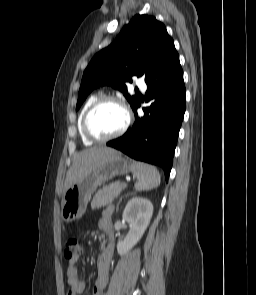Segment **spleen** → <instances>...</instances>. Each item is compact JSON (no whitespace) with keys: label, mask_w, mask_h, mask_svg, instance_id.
<instances>
[{"label":"spleen","mask_w":256,"mask_h":295,"mask_svg":"<svg viewBox=\"0 0 256 295\" xmlns=\"http://www.w3.org/2000/svg\"><path fill=\"white\" fill-rule=\"evenodd\" d=\"M133 172L137 178L135 189L137 191L151 190L158 187L161 183V176L156 167L135 162L133 164Z\"/></svg>","instance_id":"spleen-1"}]
</instances>
